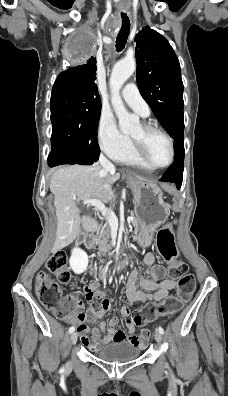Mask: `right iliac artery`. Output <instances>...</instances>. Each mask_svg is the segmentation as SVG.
I'll return each instance as SVG.
<instances>
[{
    "mask_svg": "<svg viewBox=\"0 0 228 396\" xmlns=\"http://www.w3.org/2000/svg\"><path fill=\"white\" fill-rule=\"evenodd\" d=\"M74 329H75V328H74L73 326L70 327V328H69V333H70V334L73 333Z\"/></svg>",
    "mask_w": 228,
    "mask_h": 396,
    "instance_id": "82829eb1",
    "label": "right iliac artery"
}]
</instances>
